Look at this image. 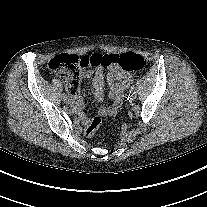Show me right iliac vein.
Here are the masks:
<instances>
[{"label": "right iliac vein", "mask_w": 207, "mask_h": 207, "mask_svg": "<svg viewBox=\"0 0 207 207\" xmlns=\"http://www.w3.org/2000/svg\"><path fill=\"white\" fill-rule=\"evenodd\" d=\"M64 102H65L66 104H70V99H69V98H65V99H64Z\"/></svg>", "instance_id": "obj_1"}]
</instances>
